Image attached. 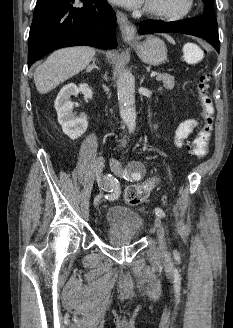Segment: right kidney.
I'll return each mask as SVG.
<instances>
[{"label": "right kidney", "instance_id": "ca27d5eb", "mask_svg": "<svg viewBox=\"0 0 233 328\" xmlns=\"http://www.w3.org/2000/svg\"><path fill=\"white\" fill-rule=\"evenodd\" d=\"M82 92L85 99H92L93 91L88 84H80L79 87L74 83H69L62 87L57 95L54 107L57 111L58 122L62 126L63 132L71 139H77L87 129L88 122L84 113L80 116L73 114L74 104L70 101L71 96Z\"/></svg>", "mask_w": 233, "mask_h": 328}]
</instances>
